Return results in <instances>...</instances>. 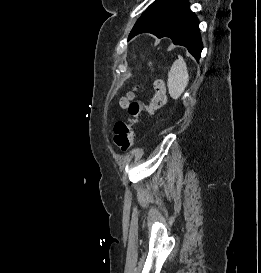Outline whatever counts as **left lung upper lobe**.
<instances>
[{
    "label": "left lung upper lobe",
    "mask_w": 261,
    "mask_h": 273,
    "mask_svg": "<svg viewBox=\"0 0 261 273\" xmlns=\"http://www.w3.org/2000/svg\"><path fill=\"white\" fill-rule=\"evenodd\" d=\"M165 0H160L157 4H160V3H162V2H164ZM156 4V5H157ZM153 6H155V5H151L149 8H148V10L150 9V8H152Z\"/></svg>",
    "instance_id": "obj_1"
}]
</instances>
